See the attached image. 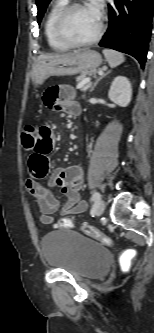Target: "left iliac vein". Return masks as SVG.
Returning <instances> with one entry per match:
<instances>
[{
  "label": "left iliac vein",
  "mask_w": 154,
  "mask_h": 333,
  "mask_svg": "<svg viewBox=\"0 0 154 333\" xmlns=\"http://www.w3.org/2000/svg\"><path fill=\"white\" fill-rule=\"evenodd\" d=\"M104 210H105V202H104V200H100L97 203L95 213L97 216H101L103 214Z\"/></svg>",
  "instance_id": "left-iliac-vein-1"
}]
</instances>
